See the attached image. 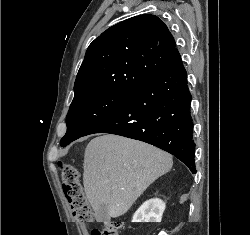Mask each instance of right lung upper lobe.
Wrapping results in <instances>:
<instances>
[{
	"label": "right lung upper lobe",
	"instance_id": "right-lung-upper-lobe-1",
	"mask_svg": "<svg viewBox=\"0 0 250 235\" xmlns=\"http://www.w3.org/2000/svg\"><path fill=\"white\" fill-rule=\"evenodd\" d=\"M176 51L173 36L157 16L145 14L120 22L88 47L74 99L95 91L134 92L161 73Z\"/></svg>",
	"mask_w": 250,
	"mask_h": 235
}]
</instances>
